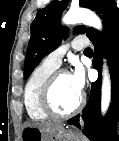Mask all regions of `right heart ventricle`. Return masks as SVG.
Masks as SVG:
<instances>
[{"label":"right heart ventricle","mask_w":119,"mask_h":141,"mask_svg":"<svg viewBox=\"0 0 119 141\" xmlns=\"http://www.w3.org/2000/svg\"><path fill=\"white\" fill-rule=\"evenodd\" d=\"M57 68L47 64L45 61L37 66L27 80L24 90V105L30 118L43 121L48 119L40 105V92L48 77Z\"/></svg>","instance_id":"right-heart-ventricle-1"}]
</instances>
